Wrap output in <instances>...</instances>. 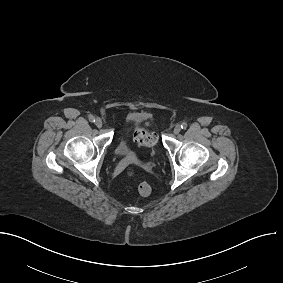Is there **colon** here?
<instances>
[{
  "label": "colon",
  "mask_w": 283,
  "mask_h": 283,
  "mask_svg": "<svg viewBox=\"0 0 283 283\" xmlns=\"http://www.w3.org/2000/svg\"><path fill=\"white\" fill-rule=\"evenodd\" d=\"M134 139L135 141L143 146V147H150L153 144V137L150 132H148L145 128L139 127L134 132ZM137 171L133 167H129L127 169L128 176H135ZM138 191L142 196H148L151 193V187L147 182L140 183L138 187Z\"/></svg>",
  "instance_id": "obj_1"
}]
</instances>
